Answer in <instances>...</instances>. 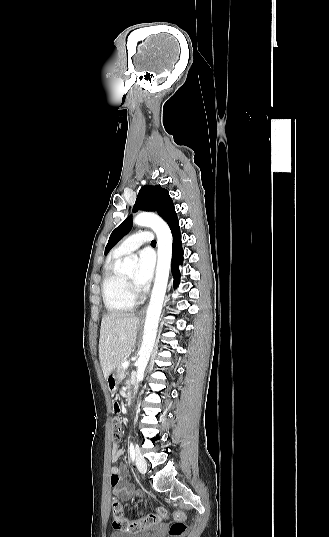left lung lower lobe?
<instances>
[{
  "label": "left lung lower lobe",
  "instance_id": "left-lung-lower-lobe-1",
  "mask_svg": "<svg viewBox=\"0 0 329 537\" xmlns=\"http://www.w3.org/2000/svg\"><path fill=\"white\" fill-rule=\"evenodd\" d=\"M171 232L173 236L171 271L174 277V285L176 286L180 279L179 265L183 262V249L179 225L173 227Z\"/></svg>",
  "mask_w": 329,
  "mask_h": 537
}]
</instances>
